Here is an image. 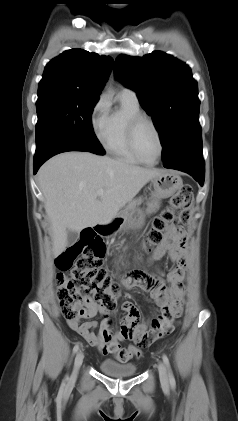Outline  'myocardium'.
<instances>
[{
	"instance_id": "1",
	"label": "myocardium",
	"mask_w": 238,
	"mask_h": 421,
	"mask_svg": "<svg viewBox=\"0 0 238 421\" xmlns=\"http://www.w3.org/2000/svg\"><path fill=\"white\" fill-rule=\"evenodd\" d=\"M143 121H147L151 124V126L153 127V129L156 132L157 138H158V142H159V153L157 158L152 161V162H148L145 161L140 154L138 153L137 147H136V132L137 129L139 127V125L143 122ZM127 137H128V144L130 147L131 152L133 153V155L135 156V158L140 162L143 163L145 165L148 166H153L155 164H157L159 162V160L162 157L163 151H164V143H163V138H162V134L161 131L157 125V123L154 121V119L144 113H139L134 115L129 123H128V129H127Z\"/></svg>"
}]
</instances>
